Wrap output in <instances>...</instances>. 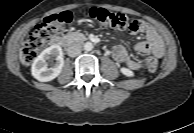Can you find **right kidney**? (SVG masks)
Instances as JSON below:
<instances>
[{"mask_svg": "<svg viewBox=\"0 0 194 133\" xmlns=\"http://www.w3.org/2000/svg\"><path fill=\"white\" fill-rule=\"evenodd\" d=\"M53 60L56 62L53 63ZM63 65L62 48L59 45L50 46L34 60L31 68L32 76L40 82L51 81L61 73Z\"/></svg>", "mask_w": 194, "mask_h": 133, "instance_id": "right-kidney-1", "label": "right kidney"}]
</instances>
